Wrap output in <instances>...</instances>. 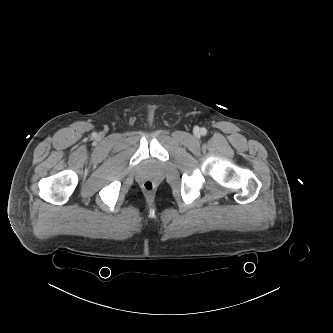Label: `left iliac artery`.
<instances>
[{
    "mask_svg": "<svg viewBox=\"0 0 333 333\" xmlns=\"http://www.w3.org/2000/svg\"><path fill=\"white\" fill-rule=\"evenodd\" d=\"M207 133V130L205 128L201 129V134L205 135Z\"/></svg>",
    "mask_w": 333,
    "mask_h": 333,
    "instance_id": "44dca946",
    "label": "left iliac artery"
}]
</instances>
